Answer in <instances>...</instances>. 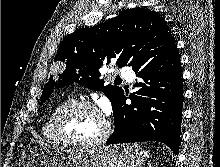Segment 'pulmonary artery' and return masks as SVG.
<instances>
[{
    "mask_svg": "<svg viewBox=\"0 0 220 167\" xmlns=\"http://www.w3.org/2000/svg\"><path fill=\"white\" fill-rule=\"evenodd\" d=\"M118 74L125 78L128 82L132 81L133 72L127 67H121L117 70Z\"/></svg>",
    "mask_w": 220,
    "mask_h": 167,
    "instance_id": "1",
    "label": "pulmonary artery"
}]
</instances>
